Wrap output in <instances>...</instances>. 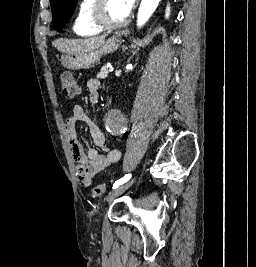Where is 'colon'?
<instances>
[{
  "instance_id": "5ec220e1",
  "label": "colon",
  "mask_w": 256,
  "mask_h": 267,
  "mask_svg": "<svg viewBox=\"0 0 256 267\" xmlns=\"http://www.w3.org/2000/svg\"><path fill=\"white\" fill-rule=\"evenodd\" d=\"M61 88L62 91L66 96H75L78 93V84L74 76L65 71L61 73ZM111 184L110 183H103L95 185L92 188V194L94 196H103L110 190Z\"/></svg>"
}]
</instances>
